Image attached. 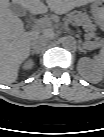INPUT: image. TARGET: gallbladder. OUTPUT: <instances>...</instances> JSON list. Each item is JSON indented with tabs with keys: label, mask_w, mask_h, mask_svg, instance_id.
I'll return each mask as SVG.
<instances>
[{
	"label": "gallbladder",
	"mask_w": 104,
	"mask_h": 137,
	"mask_svg": "<svg viewBox=\"0 0 104 137\" xmlns=\"http://www.w3.org/2000/svg\"><path fill=\"white\" fill-rule=\"evenodd\" d=\"M10 10L16 16L22 17L27 14V10L18 4H10Z\"/></svg>",
	"instance_id": "gallbladder-1"
}]
</instances>
